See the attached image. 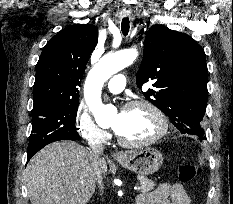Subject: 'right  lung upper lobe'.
<instances>
[{
    "label": "right lung upper lobe",
    "instance_id": "right-lung-upper-lobe-1",
    "mask_svg": "<svg viewBox=\"0 0 233 204\" xmlns=\"http://www.w3.org/2000/svg\"><path fill=\"white\" fill-rule=\"evenodd\" d=\"M97 42L98 30L92 24L68 26L47 42L36 65L33 109L79 101L77 86Z\"/></svg>",
    "mask_w": 233,
    "mask_h": 204
}]
</instances>
